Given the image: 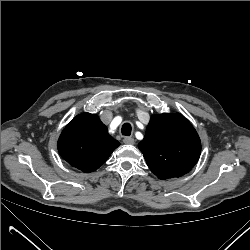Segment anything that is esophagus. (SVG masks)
<instances>
[{"label": "esophagus", "instance_id": "34e87169", "mask_svg": "<svg viewBox=\"0 0 250 250\" xmlns=\"http://www.w3.org/2000/svg\"><path fill=\"white\" fill-rule=\"evenodd\" d=\"M123 142L127 145H133L135 143V141L132 137H125L123 139Z\"/></svg>", "mask_w": 250, "mask_h": 250}]
</instances>
